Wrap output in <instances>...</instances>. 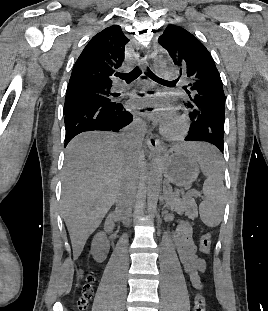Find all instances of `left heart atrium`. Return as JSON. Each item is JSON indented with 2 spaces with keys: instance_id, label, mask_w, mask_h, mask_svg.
Instances as JSON below:
<instances>
[{
  "instance_id": "1",
  "label": "left heart atrium",
  "mask_w": 268,
  "mask_h": 311,
  "mask_svg": "<svg viewBox=\"0 0 268 311\" xmlns=\"http://www.w3.org/2000/svg\"><path fill=\"white\" fill-rule=\"evenodd\" d=\"M147 97H151V95H148ZM155 104L154 102H149L140 98H134L130 102V106L135 109H141L146 106H150ZM155 111H160V113H157L153 115V118L157 120L158 122L162 124H168L172 120L173 116V108L172 107H165V108H159L155 109Z\"/></svg>"
}]
</instances>
